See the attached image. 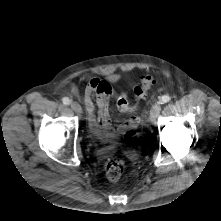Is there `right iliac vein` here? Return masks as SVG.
<instances>
[{
	"label": "right iliac vein",
	"mask_w": 221,
	"mask_h": 221,
	"mask_svg": "<svg viewBox=\"0 0 221 221\" xmlns=\"http://www.w3.org/2000/svg\"><path fill=\"white\" fill-rule=\"evenodd\" d=\"M71 108L74 110V112H76L77 114H81L82 113V108L80 106V104H78L77 102H73L71 104Z\"/></svg>",
	"instance_id": "right-iliac-vein-1"
}]
</instances>
